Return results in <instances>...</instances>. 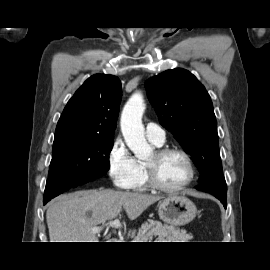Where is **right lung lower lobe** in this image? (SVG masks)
Wrapping results in <instances>:
<instances>
[{
	"label": "right lung lower lobe",
	"mask_w": 270,
	"mask_h": 270,
	"mask_svg": "<svg viewBox=\"0 0 270 270\" xmlns=\"http://www.w3.org/2000/svg\"><path fill=\"white\" fill-rule=\"evenodd\" d=\"M66 185H67V189H66V191H67L69 188H71V186L69 184H66ZM52 198H54V196H46V195H44V197H43V203L46 204Z\"/></svg>",
	"instance_id": "obj_1"
}]
</instances>
